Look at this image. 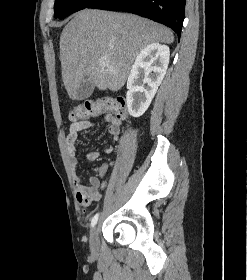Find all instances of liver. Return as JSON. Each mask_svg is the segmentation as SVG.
<instances>
[{
    "label": "liver",
    "mask_w": 247,
    "mask_h": 280,
    "mask_svg": "<svg viewBox=\"0 0 247 280\" xmlns=\"http://www.w3.org/2000/svg\"><path fill=\"white\" fill-rule=\"evenodd\" d=\"M173 41L169 29L136 15L92 9L77 12L60 36L62 79L69 97L86 79L99 90H120L143 48ZM103 59L108 63L100 66Z\"/></svg>",
    "instance_id": "obj_1"
}]
</instances>
